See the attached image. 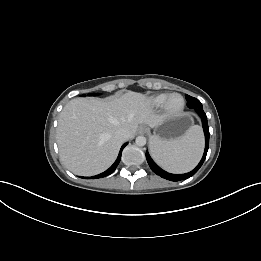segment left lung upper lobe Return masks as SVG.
Here are the masks:
<instances>
[{"label":"left lung upper lobe","instance_id":"obj_1","mask_svg":"<svg viewBox=\"0 0 261 261\" xmlns=\"http://www.w3.org/2000/svg\"><path fill=\"white\" fill-rule=\"evenodd\" d=\"M186 100H187V106L189 108H203L202 103L194 97L186 95Z\"/></svg>","mask_w":261,"mask_h":261}]
</instances>
